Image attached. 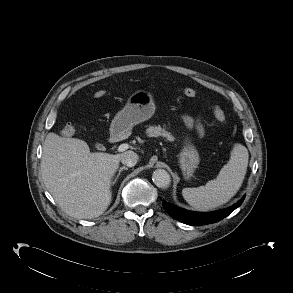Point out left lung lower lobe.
<instances>
[{
    "instance_id": "left-lung-lower-lobe-1",
    "label": "left lung lower lobe",
    "mask_w": 293,
    "mask_h": 293,
    "mask_svg": "<svg viewBox=\"0 0 293 293\" xmlns=\"http://www.w3.org/2000/svg\"><path fill=\"white\" fill-rule=\"evenodd\" d=\"M244 198L245 197H243L239 202H237L235 205L227 209L209 213H198L180 209L173 204L167 203L165 200H163L162 204L165 211L171 217L182 223L188 225H206L220 221L221 219L228 216L232 211H234L237 207H239L242 204Z\"/></svg>"
}]
</instances>
